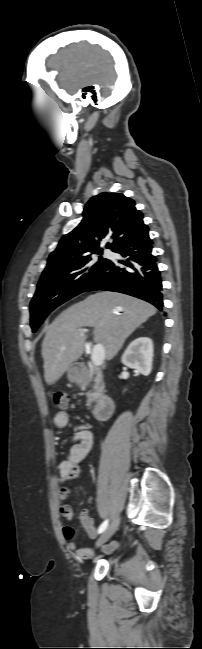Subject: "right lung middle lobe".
Instances as JSON below:
<instances>
[{
    "mask_svg": "<svg viewBox=\"0 0 202 649\" xmlns=\"http://www.w3.org/2000/svg\"><path fill=\"white\" fill-rule=\"evenodd\" d=\"M91 254L101 255L102 251H93L76 259L68 271L40 278L30 304L32 332L37 330L52 310L84 292L109 261L102 257L95 260Z\"/></svg>",
    "mask_w": 202,
    "mask_h": 649,
    "instance_id": "dd1d6c3e",
    "label": "right lung middle lobe"
}]
</instances>
